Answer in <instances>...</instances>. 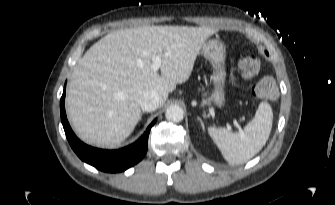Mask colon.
Wrapping results in <instances>:
<instances>
[{
	"mask_svg": "<svg viewBox=\"0 0 335 205\" xmlns=\"http://www.w3.org/2000/svg\"><path fill=\"white\" fill-rule=\"evenodd\" d=\"M239 70L243 78L251 79L255 77L260 70V61L254 55L246 56L240 60ZM253 93L258 98L274 99L278 95V88L273 78L263 77L254 84Z\"/></svg>",
	"mask_w": 335,
	"mask_h": 205,
	"instance_id": "colon-1",
	"label": "colon"
}]
</instances>
